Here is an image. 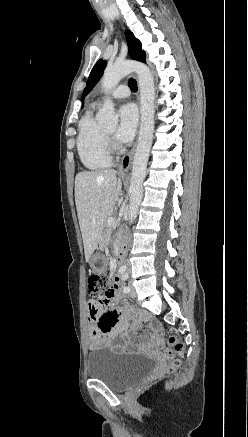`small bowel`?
I'll return each mask as SVG.
<instances>
[{
  "instance_id": "c3829d8e",
  "label": "small bowel",
  "mask_w": 248,
  "mask_h": 437,
  "mask_svg": "<svg viewBox=\"0 0 248 437\" xmlns=\"http://www.w3.org/2000/svg\"><path fill=\"white\" fill-rule=\"evenodd\" d=\"M120 281L100 299L88 302L89 312V350L94 351L103 347L114 348L124 352H146L161 343V337L156 329L151 333L136 336L138 322L128 323L129 311L116 309L113 306L121 300L119 292ZM121 338L123 341L115 344Z\"/></svg>"
}]
</instances>
